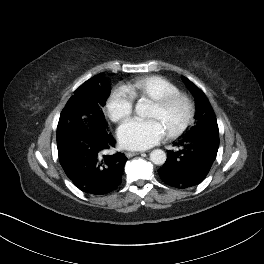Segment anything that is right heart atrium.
<instances>
[{"label": "right heart atrium", "mask_w": 264, "mask_h": 264, "mask_svg": "<svg viewBox=\"0 0 264 264\" xmlns=\"http://www.w3.org/2000/svg\"><path fill=\"white\" fill-rule=\"evenodd\" d=\"M134 98L126 87L120 86L113 90L106 100V110L114 122L126 120L133 112Z\"/></svg>", "instance_id": "d8ad5b80"}]
</instances>
